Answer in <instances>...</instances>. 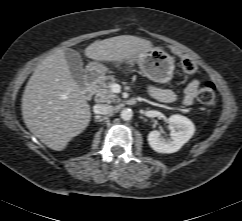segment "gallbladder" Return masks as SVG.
Instances as JSON below:
<instances>
[{
    "label": "gallbladder",
    "mask_w": 242,
    "mask_h": 221,
    "mask_svg": "<svg viewBox=\"0 0 242 221\" xmlns=\"http://www.w3.org/2000/svg\"><path fill=\"white\" fill-rule=\"evenodd\" d=\"M71 76L81 89L85 87L83 62L80 54L70 48L64 50Z\"/></svg>",
    "instance_id": "1"
}]
</instances>
